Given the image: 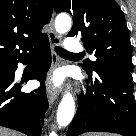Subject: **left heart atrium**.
<instances>
[{"mask_svg":"<svg viewBox=\"0 0 136 136\" xmlns=\"http://www.w3.org/2000/svg\"><path fill=\"white\" fill-rule=\"evenodd\" d=\"M60 78H61L60 76H59V77H57V80H60Z\"/></svg>","mask_w":136,"mask_h":136,"instance_id":"left-heart-atrium-1","label":"left heart atrium"}]
</instances>
